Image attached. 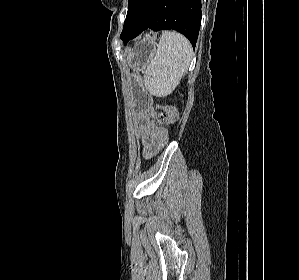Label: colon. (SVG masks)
<instances>
[{
	"mask_svg": "<svg viewBox=\"0 0 299 280\" xmlns=\"http://www.w3.org/2000/svg\"><path fill=\"white\" fill-rule=\"evenodd\" d=\"M157 120L162 125H167L176 120V111L173 107L167 106L164 112L157 114Z\"/></svg>",
	"mask_w": 299,
	"mask_h": 280,
	"instance_id": "5ec220e1",
	"label": "colon"
}]
</instances>
